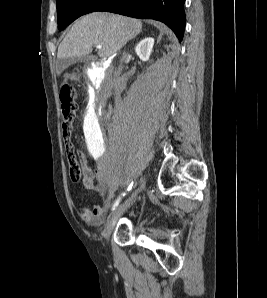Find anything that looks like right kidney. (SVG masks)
Instances as JSON below:
<instances>
[{
	"label": "right kidney",
	"mask_w": 267,
	"mask_h": 298,
	"mask_svg": "<svg viewBox=\"0 0 267 298\" xmlns=\"http://www.w3.org/2000/svg\"><path fill=\"white\" fill-rule=\"evenodd\" d=\"M153 45H154L153 38L146 37L142 39L135 47V52L137 56L144 62L148 61L152 52Z\"/></svg>",
	"instance_id": "ca27d5eb"
}]
</instances>
